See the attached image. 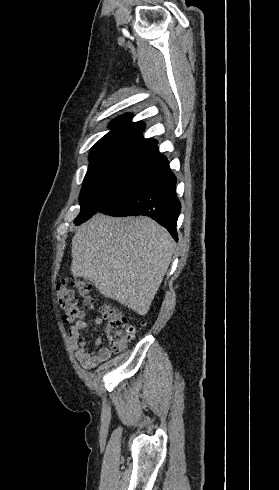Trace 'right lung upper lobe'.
I'll return each instance as SVG.
<instances>
[{
  "label": "right lung upper lobe",
  "mask_w": 279,
  "mask_h": 490,
  "mask_svg": "<svg viewBox=\"0 0 279 490\" xmlns=\"http://www.w3.org/2000/svg\"><path fill=\"white\" fill-rule=\"evenodd\" d=\"M131 118L125 114L112 121V130L91 149L90 165L111 161L159 164L166 160L158 151L157 141L142 136L144 124L131 122Z\"/></svg>",
  "instance_id": "cb5924a9"
}]
</instances>
